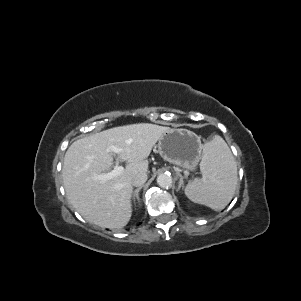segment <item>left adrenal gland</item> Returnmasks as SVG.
<instances>
[{"label":"left adrenal gland","mask_w":301,"mask_h":301,"mask_svg":"<svg viewBox=\"0 0 301 301\" xmlns=\"http://www.w3.org/2000/svg\"><path fill=\"white\" fill-rule=\"evenodd\" d=\"M177 175L180 177L179 185H178V191H179L180 188L183 187V176L179 173H177Z\"/></svg>","instance_id":"left-adrenal-gland-1"}]
</instances>
